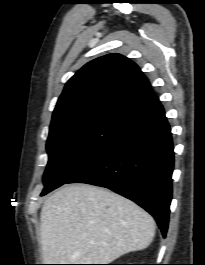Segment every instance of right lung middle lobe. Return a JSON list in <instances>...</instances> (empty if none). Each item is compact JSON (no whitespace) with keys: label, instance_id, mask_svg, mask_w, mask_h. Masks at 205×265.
Instances as JSON below:
<instances>
[{"label":"right lung middle lobe","instance_id":"dd1d6c3e","mask_svg":"<svg viewBox=\"0 0 205 265\" xmlns=\"http://www.w3.org/2000/svg\"><path fill=\"white\" fill-rule=\"evenodd\" d=\"M123 126L100 122L49 133L46 145L49 160L43 177L45 187L41 195L65 184L99 154Z\"/></svg>","mask_w":205,"mask_h":265}]
</instances>
